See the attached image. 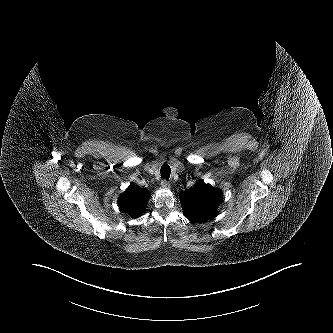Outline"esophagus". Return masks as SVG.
<instances>
[{"label": "esophagus", "instance_id": "obj_1", "mask_svg": "<svg viewBox=\"0 0 333 333\" xmlns=\"http://www.w3.org/2000/svg\"><path fill=\"white\" fill-rule=\"evenodd\" d=\"M161 187L164 188V189H169L170 188V184L167 180H162L161 181Z\"/></svg>", "mask_w": 333, "mask_h": 333}]
</instances>
